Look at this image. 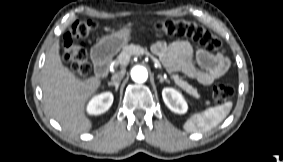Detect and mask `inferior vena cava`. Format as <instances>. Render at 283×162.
Here are the masks:
<instances>
[{
  "instance_id": "obj_1",
  "label": "inferior vena cava",
  "mask_w": 283,
  "mask_h": 162,
  "mask_svg": "<svg viewBox=\"0 0 283 162\" xmlns=\"http://www.w3.org/2000/svg\"><path fill=\"white\" fill-rule=\"evenodd\" d=\"M126 71L122 69L121 71L112 75L111 80L113 83H120L121 79L124 77Z\"/></svg>"
}]
</instances>
